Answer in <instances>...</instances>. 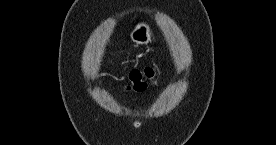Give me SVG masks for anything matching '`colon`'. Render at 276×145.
Returning <instances> with one entry per match:
<instances>
[{"label": "colon", "instance_id": "colon-1", "mask_svg": "<svg viewBox=\"0 0 276 145\" xmlns=\"http://www.w3.org/2000/svg\"><path fill=\"white\" fill-rule=\"evenodd\" d=\"M155 77L152 67L134 68L128 73L129 88L134 91H143Z\"/></svg>", "mask_w": 276, "mask_h": 145}]
</instances>
